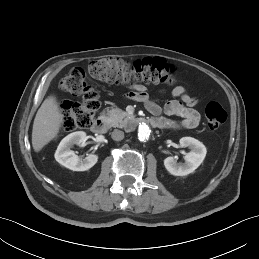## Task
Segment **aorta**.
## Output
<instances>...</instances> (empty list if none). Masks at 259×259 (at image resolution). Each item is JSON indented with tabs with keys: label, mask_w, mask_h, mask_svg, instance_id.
Wrapping results in <instances>:
<instances>
[{
	"label": "aorta",
	"mask_w": 259,
	"mask_h": 259,
	"mask_svg": "<svg viewBox=\"0 0 259 259\" xmlns=\"http://www.w3.org/2000/svg\"><path fill=\"white\" fill-rule=\"evenodd\" d=\"M137 137L140 141H146L150 138L151 135V129L150 127L145 123H140L137 126Z\"/></svg>",
	"instance_id": "1"
}]
</instances>
